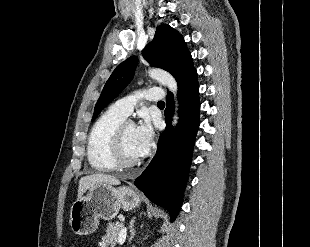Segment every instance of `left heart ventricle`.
<instances>
[{
	"mask_svg": "<svg viewBox=\"0 0 310 247\" xmlns=\"http://www.w3.org/2000/svg\"><path fill=\"white\" fill-rule=\"evenodd\" d=\"M124 152L128 159L140 158L137 152L136 127L128 125L124 134Z\"/></svg>",
	"mask_w": 310,
	"mask_h": 247,
	"instance_id": "1",
	"label": "left heart ventricle"
}]
</instances>
